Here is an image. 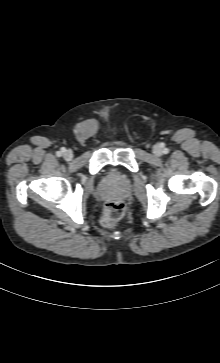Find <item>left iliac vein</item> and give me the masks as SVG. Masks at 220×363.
I'll return each mask as SVG.
<instances>
[{"instance_id": "obj_1", "label": "left iliac vein", "mask_w": 220, "mask_h": 363, "mask_svg": "<svg viewBox=\"0 0 220 363\" xmlns=\"http://www.w3.org/2000/svg\"><path fill=\"white\" fill-rule=\"evenodd\" d=\"M153 152L156 156H160L162 154V148L159 145H155Z\"/></svg>"}]
</instances>
